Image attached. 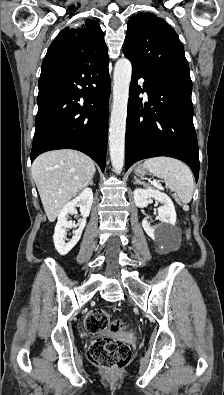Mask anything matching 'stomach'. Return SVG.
Wrapping results in <instances>:
<instances>
[{
  "label": "stomach",
  "mask_w": 224,
  "mask_h": 395,
  "mask_svg": "<svg viewBox=\"0 0 224 395\" xmlns=\"http://www.w3.org/2000/svg\"><path fill=\"white\" fill-rule=\"evenodd\" d=\"M135 173L137 175H145L146 174V168L143 165H138L137 168L135 169Z\"/></svg>",
  "instance_id": "obj_1"
}]
</instances>
